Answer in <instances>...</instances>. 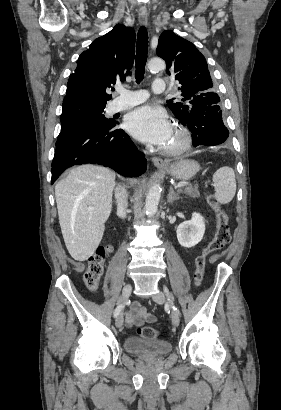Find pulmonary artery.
I'll return each instance as SVG.
<instances>
[{
  "label": "pulmonary artery",
  "instance_id": "pulmonary-artery-1",
  "mask_svg": "<svg viewBox=\"0 0 281 410\" xmlns=\"http://www.w3.org/2000/svg\"><path fill=\"white\" fill-rule=\"evenodd\" d=\"M152 90L155 93H162L166 90V83L163 79H155L152 84ZM117 91L120 97L117 98L112 105L114 112L130 109L138 104L143 103L147 99L145 91H130L122 86H117Z\"/></svg>",
  "mask_w": 281,
  "mask_h": 410
}]
</instances>
